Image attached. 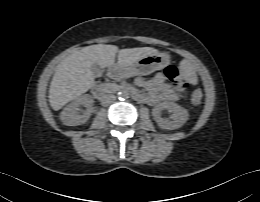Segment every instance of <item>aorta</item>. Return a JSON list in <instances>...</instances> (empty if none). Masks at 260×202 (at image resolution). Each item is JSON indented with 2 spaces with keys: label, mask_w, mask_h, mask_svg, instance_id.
<instances>
[{
  "label": "aorta",
  "mask_w": 260,
  "mask_h": 202,
  "mask_svg": "<svg viewBox=\"0 0 260 202\" xmlns=\"http://www.w3.org/2000/svg\"><path fill=\"white\" fill-rule=\"evenodd\" d=\"M118 96H119V99H125V98H128L129 97V93L128 91H121L118 93Z\"/></svg>",
  "instance_id": "obj_1"
}]
</instances>
